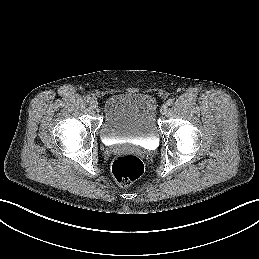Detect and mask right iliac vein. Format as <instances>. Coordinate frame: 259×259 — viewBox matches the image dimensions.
<instances>
[{
    "mask_svg": "<svg viewBox=\"0 0 259 259\" xmlns=\"http://www.w3.org/2000/svg\"><path fill=\"white\" fill-rule=\"evenodd\" d=\"M90 105H91V108L94 110L98 108V102L96 100H92Z\"/></svg>",
    "mask_w": 259,
    "mask_h": 259,
    "instance_id": "right-iliac-vein-1",
    "label": "right iliac vein"
}]
</instances>
